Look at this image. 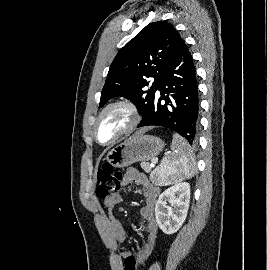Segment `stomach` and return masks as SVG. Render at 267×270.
<instances>
[{
	"instance_id": "stomach-1",
	"label": "stomach",
	"mask_w": 267,
	"mask_h": 270,
	"mask_svg": "<svg viewBox=\"0 0 267 270\" xmlns=\"http://www.w3.org/2000/svg\"><path fill=\"white\" fill-rule=\"evenodd\" d=\"M163 148L164 141L161 138L142 134L112 148L108 152L106 159L112 166L121 168L135 162L153 159Z\"/></svg>"
}]
</instances>
